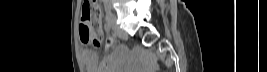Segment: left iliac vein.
Masks as SVG:
<instances>
[{"label": "left iliac vein", "instance_id": "obj_1", "mask_svg": "<svg viewBox=\"0 0 267 72\" xmlns=\"http://www.w3.org/2000/svg\"><path fill=\"white\" fill-rule=\"evenodd\" d=\"M111 22H112V28H113L115 34L121 39H126L128 37V35L123 29H121L117 25L116 16L113 13H111Z\"/></svg>", "mask_w": 267, "mask_h": 72}]
</instances>
